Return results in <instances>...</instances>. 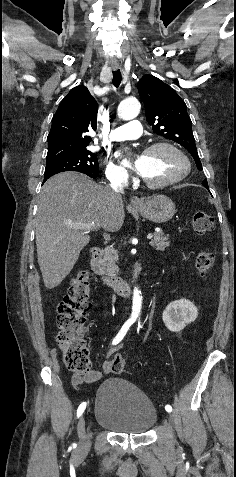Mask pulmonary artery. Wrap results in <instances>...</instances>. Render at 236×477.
<instances>
[{
  "label": "pulmonary artery",
  "mask_w": 236,
  "mask_h": 477,
  "mask_svg": "<svg viewBox=\"0 0 236 477\" xmlns=\"http://www.w3.org/2000/svg\"><path fill=\"white\" fill-rule=\"evenodd\" d=\"M142 126L138 120H131L125 125L115 128L111 131V140L123 141L136 139L141 135Z\"/></svg>",
  "instance_id": "obj_1"
}]
</instances>
